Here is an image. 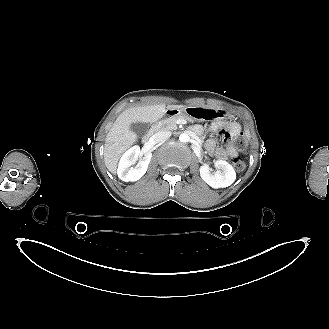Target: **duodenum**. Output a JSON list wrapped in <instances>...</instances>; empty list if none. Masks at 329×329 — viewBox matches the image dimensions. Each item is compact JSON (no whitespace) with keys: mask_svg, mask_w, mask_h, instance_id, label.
<instances>
[{"mask_svg":"<svg viewBox=\"0 0 329 329\" xmlns=\"http://www.w3.org/2000/svg\"><path fill=\"white\" fill-rule=\"evenodd\" d=\"M176 114H177V111L174 110V109H168V110L166 111V115H167V116H174V115H176ZM150 138H151V132H147V133L143 136V142H144V143L149 142Z\"/></svg>","mask_w":329,"mask_h":329,"instance_id":"1","label":"duodenum"}]
</instances>
